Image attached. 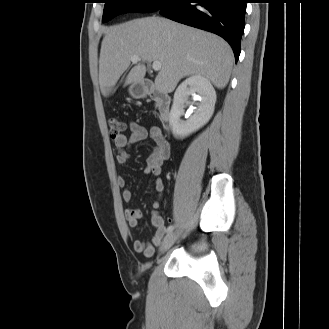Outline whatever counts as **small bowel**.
I'll list each match as a JSON object with an SVG mask.
<instances>
[{
    "mask_svg": "<svg viewBox=\"0 0 329 329\" xmlns=\"http://www.w3.org/2000/svg\"><path fill=\"white\" fill-rule=\"evenodd\" d=\"M130 134L128 136L122 135L113 138L115 147L118 150L117 162L119 164H125L130 158L129 149L132 145L141 142L147 138H151L155 144L153 152L148 156L146 160V166L144 172L147 175L156 177L155 180V198L153 201V212L151 213V223L155 228V233L149 242L141 240H135L133 248L136 252L142 253L146 258L152 257L156 251L162 247L163 238L166 233L164 221L158 208L160 207L163 191L165 188L164 182L161 178L162 165L170 156V145L164 138L162 130L158 126L146 127L137 122H131ZM118 184L123 188L122 199L125 202H130L132 199V192L126 186V179L122 176L118 178ZM142 211L139 209L129 208L125 210V219L130 228H136L139 220L142 218Z\"/></svg>",
    "mask_w": 329,
    "mask_h": 329,
    "instance_id": "obj_1",
    "label": "small bowel"
}]
</instances>
